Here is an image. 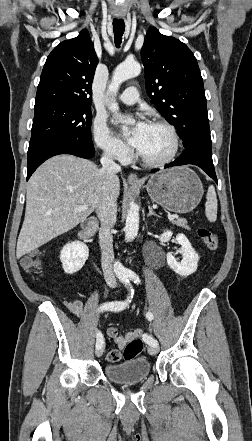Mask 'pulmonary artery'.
<instances>
[{"label":"pulmonary artery","instance_id":"pulmonary-artery-1","mask_svg":"<svg viewBox=\"0 0 252 441\" xmlns=\"http://www.w3.org/2000/svg\"><path fill=\"white\" fill-rule=\"evenodd\" d=\"M118 99L127 105L135 104L139 100V90L135 86L128 87Z\"/></svg>","mask_w":252,"mask_h":441}]
</instances>
